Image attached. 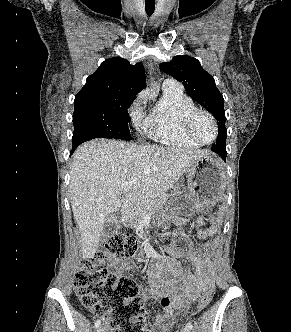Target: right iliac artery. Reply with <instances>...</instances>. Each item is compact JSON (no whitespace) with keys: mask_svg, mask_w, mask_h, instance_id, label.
<instances>
[{"mask_svg":"<svg viewBox=\"0 0 291 332\" xmlns=\"http://www.w3.org/2000/svg\"><path fill=\"white\" fill-rule=\"evenodd\" d=\"M100 324H101V320L98 319V320L95 321V323H94V327H95V328H98V327L100 326Z\"/></svg>","mask_w":291,"mask_h":332,"instance_id":"1","label":"right iliac artery"}]
</instances>
